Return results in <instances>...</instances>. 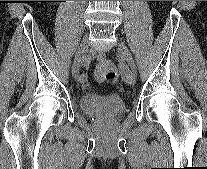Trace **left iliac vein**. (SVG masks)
<instances>
[{
    "mask_svg": "<svg viewBox=\"0 0 207 169\" xmlns=\"http://www.w3.org/2000/svg\"><path fill=\"white\" fill-rule=\"evenodd\" d=\"M118 52L121 56V58L127 62V64L131 67L132 65L135 64L134 59L129 51V49L127 48V46L125 45V43L121 40H118ZM132 69V68H131ZM131 69H126L124 72V80L130 84V85H134L135 81H136V76H135V72Z\"/></svg>",
    "mask_w": 207,
    "mask_h": 169,
    "instance_id": "1",
    "label": "left iliac vein"
}]
</instances>
